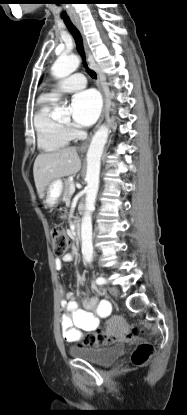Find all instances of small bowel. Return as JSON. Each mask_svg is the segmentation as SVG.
<instances>
[{
	"label": "small bowel",
	"instance_id": "obj_1",
	"mask_svg": "<svg viewBox=\"0 0 187 415\" xmlns=\"http://www.w3.org/2000/svg\"><path fill=\"white\" fill-rule=\"evenodd\" d=\"M73 260V255L68 253L55 259V267L60 270L64 263ZM61 330L64 339L70 343H78L82 334L95 331L102 318H108L111 314V304L107 300H99L94 295H89L83 300V308H79L73 292L61 290ZM117 317L109 319L113 324Z\"/></svg>",
	"mask_w": 187,
	"mask_h": 415
}]
</instances>
